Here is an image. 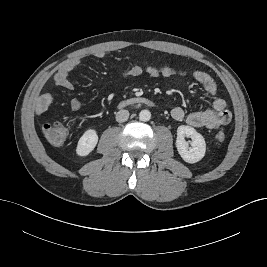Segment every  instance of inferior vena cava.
Listing matches in <instances>:
<instances>
[{
  "label": "inferior vena cava",
  "mask_w": 267,
  "mask_h": 267,
  "mask_svg": "<svg viewBox=\"0 0 267 267\" xmlns=\"http://www.w3.org/2000/svg\"><path fill=\"white\" fill-rule=\"evenodd\" d=\"M129 118L128 110H120L116 113V121L119 123L127 121Z\"/></svg>",
  "instance_id": "inferior-vena-cava-1"
}]
</instances>
